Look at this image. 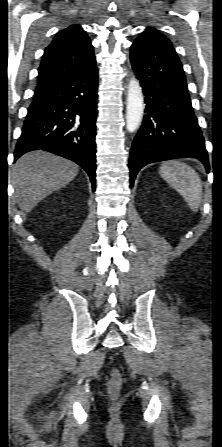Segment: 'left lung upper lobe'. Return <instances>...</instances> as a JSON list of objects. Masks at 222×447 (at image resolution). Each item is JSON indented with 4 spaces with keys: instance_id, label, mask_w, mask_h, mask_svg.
<instances>
[{
    "instance_id": "5c2ea615",
    "label": "left lung upper lobe",
    "mask_w": 222,
    "mask_h": 447,
    "mask_svg": "<svg viewBox=\"0 0 222 447\" xmlns=\"http://www.w3.org/2000/svg\"><path fill=\"white\" fill-rule=\"evenodd\" d=\"M142 34L149 35V36H155L161 39H164L168 42H170L164 35L157 32L154 28H147Z\"/></svg>"
}]
</instances>
